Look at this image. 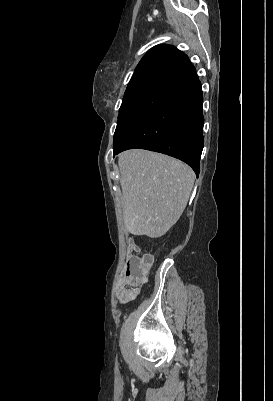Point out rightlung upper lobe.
Here are the masks:
<instances>
[{
    "instance_id": "right-lung-upper-lobe-1",
    "label": "right lung upper lobe",
    "mask_w": 273,
    "mask_h": 401,
    "mask_svg": "<svg viewBox=\"0 0 273 401\" xmlns=\"http://www.w3.org/2000/svg\"><path fill=\"white\" fill-rule=\"evenodd\" d=\"M197 78L187 55L174 46L157 45L137 65L124 97L143 93L169 96Z\"/></svg>"
}]
</instances>
